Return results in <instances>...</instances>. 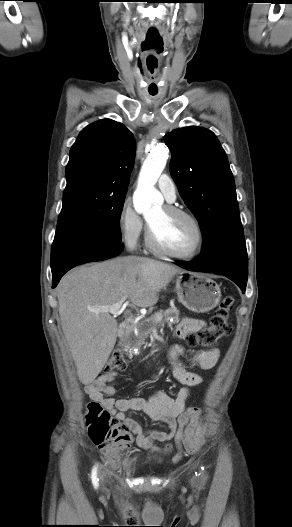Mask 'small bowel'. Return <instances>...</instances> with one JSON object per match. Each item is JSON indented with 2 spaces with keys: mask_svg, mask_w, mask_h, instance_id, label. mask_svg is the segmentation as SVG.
<instances>
[{
  "mask_svg": "<svg viewBox=\"0 0 292 527\" xmlns=\"http://www.w3.org/2000/svg\"><path fill=\"white\" fill-rule=\"evenodd\" d=\"M204 326V321L186 317L176 328L175 335L184 339L188 334L198 331ZM184 353L182 346L174 345L168 355L173 377L185 386L175 398L159 391L149 399L142 397L115 399L113 395L116 388L110 385L116 377L114 372L105 373L95 382L86 386V391L90 397L100 401L117 420L128 426L129 430L136 436V443L140 448L159 450L155 445L156 442L173 440L178 449V453L173 458L174 461L181 457L182 449L190 453L197 451L206 438V426L201 419V410L186 407V402L190 397V388L200 385L203 379L201 375L187 371L182 367L179 357ZM218 359L219 350L216 348L190 355L193 365L201 370L213 368ZM129 410L143 412L152 420L167 424L169 431L145 430L138 421L125 415V412ZM171 448L172 445L167 443L162 451L168 453Z\"/></svg>",
  "mask_w": 292,
  "mask_h": 527,
  "instance_id": "1",
  "label": "small bowel"
}]
</instances>
